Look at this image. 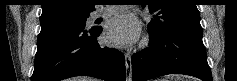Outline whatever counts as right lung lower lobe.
<instances>
[{"label":"right lung lower lobe","mask_w":237,"mask_h":81,"mask_svg":"<svg viewBox=\"0 0 237 81\" xmlns=\"http://www.w3.org/2000/svg\"><path fill=\"white\" fill-rule=\"evenodd\" d=\"M101 31L73 23L41 25L31 81H60L80 75L125 81L124 55L99 46Z\"/></svg>","instance_id":"1"}]
</instances>
